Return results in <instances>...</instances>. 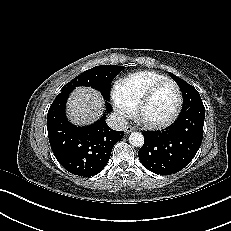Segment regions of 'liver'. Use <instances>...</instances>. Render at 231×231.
<instances>
[{
	"label": "liver",
	"instance_id": "6515ba94",
	"mask_svg": "<svg viewBox=\"0 0 231 231\" xmlns=\"http://www.w3.org/2000/svg\"><path fill=\"white\" fill-rule=\"evenodd\" d=\"M104 99L99 92L88 87H77L68 97L66 114L76 125H89L103 114Z\"/></svg>",
	"mask_w": 231,
	"mask_h": 231
}]
</instances>
